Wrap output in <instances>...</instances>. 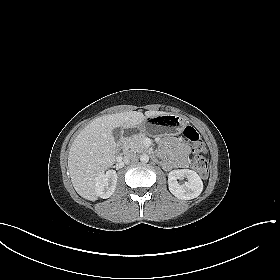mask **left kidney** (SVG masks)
Segmentation results:
<instances>
[{"mask_svg": "<svg viewBox=\"0 0 280 280\" xmlns=\"http://www.w3.org/2000/svg\"><path fill=\"white\" fill-rule=\"evenodd\" d=\"M186 178V182L181 185L178 179ZM168 185L170 192L182 200H190L198 197L203 190V182L200 176L192 170L180 169L172 170L168 174Z\"/></svg>", "mask_w": 280, "mask_h": 280, "instance_id": "left-kidney-1", "label": "left kidney"}]
</instances>
